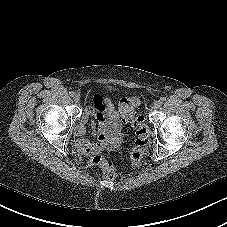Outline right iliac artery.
Instances as JSON below:
<instances>
[{"instance_id":"1","label":"right iliac artery","mask_w":227,"mask_h":227,"mask_svg":"<svg viewBox=\"0 0 227 227\" xmlns=\"http://www.w3.org/2000/svg\"><path fill=\"white\" fill-rule=\"evenodd\" d=\"M69 95H70L71 97H74L75 92H74V91H70V92H69Z\"/></svg>"}]
</instances>
